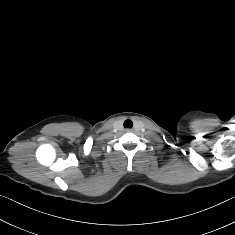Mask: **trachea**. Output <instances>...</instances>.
<instances>
[{
	"label": "trachea",
	"instance_id": "1",
	"mask_svg": "<svg viewBox=\"0 0 235 235\" xmlns=\"http://www.w3.org/2000/svg\"><path fill=\"white\" fill-rule=\"evenodd\" d=\"M132 126H133V123H132L131 120H126V121L124 122V127H125V128H131Z\"/></svg>",
	"mask_w": 235,
	"mask_h": 235
}]
</instances>
